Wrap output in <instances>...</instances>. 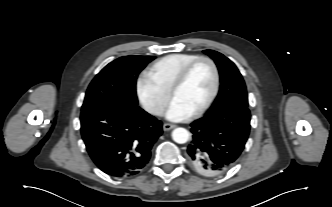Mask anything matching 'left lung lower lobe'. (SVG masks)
<instances>
[{"mask_svg": "<svg viewBox=\"0 0 332 207\" xmlns=\"http://www.w3.org/2000/svg\"><path fill=\"white\" fill-rule=\"evenodd\" d=\"M250 119L248 107L230 106L194 121L191 124L193 139L187 148L190 166L208 177L229 170L245 147Z\"/></svg>", "mask_w": 332, "mask_h": 207, "instance_id": "0a47b994", "label": "left lung lower lobe"}]
</instances>
